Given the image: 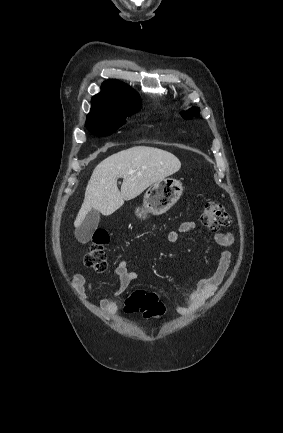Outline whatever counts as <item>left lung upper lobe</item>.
Segmentation results:
<instances>
[{
    "mask_svg": "<svg viewBox=\"0 0 283 433\" xmlns=\"http://www.w3.org/2000/svg\"><path fill=\"white\" fill-rule=\"evenodd\" d=\"M198 115H199V108H197V107H192L188 111L182 113V116L185 119H190L193 116H198Z\"/></svg>",
    "mask_w": 283,
    "mask_h": 433,
    "instance_id": "obj_1",
    "label": "left lung upper lobe"
}]
</instances>
